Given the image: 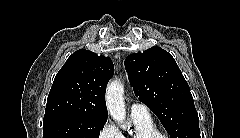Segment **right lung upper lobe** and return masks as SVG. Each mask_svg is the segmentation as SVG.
I'll return each instance as SVG.
<instances>
[{
	"instance_id": "1",
	"label": "right lung upper lobe",
	"mask_w": 240,
	"mask_h": 138,
	"mask_svg": "<svg viewBox=\"0 0 240 138\" xmlns=\"http://www.w3.org/2000/svg\"><path fill=\"white\" fill-rule=\"evenodd\" d=\"M113 73L109 57L85 49L74 52L54 79L44 117L73 114L107 121L105 89Z\"/></svg>"
}]
</instances>
